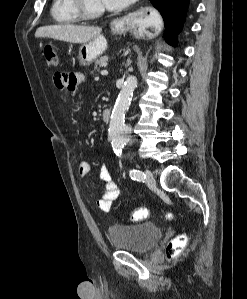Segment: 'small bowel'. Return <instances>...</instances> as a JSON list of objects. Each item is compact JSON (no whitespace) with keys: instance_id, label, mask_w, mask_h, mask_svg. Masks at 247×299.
Returning a JSON list of instances; mask_svg holds the SVG:
<instances>
[{"instance_id":"c3829d8e","label":"small bowel","mask_w":247,"mask_h":299,"mask_svg":"<svg viewBox=\"0 0 247 299\" xmlns=\"http://www.w3.org/2000/svg\"><path fill=\"white\" fill-rule=\"evenodd\" d=\"M84 77L78 73L62 74L57 73L54 76L56 87L65 92V97L72 100L76 97L78 87ZM78 174L82 177L88 175L91 171L90 164L87 161H80L77 167ZM99 179L104 184V191L101 198L97 201L98 208L103 212H109L120 194L116 182L113 180L105 166H101L98 171Z\"/></svg>"}]
</instances>
